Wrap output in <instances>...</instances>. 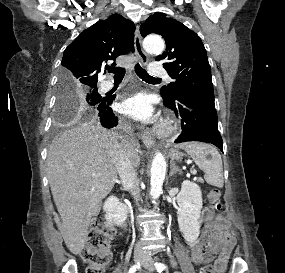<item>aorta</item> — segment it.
Listing matches in <instances>:
<instances>
[{
    "label": "aorta",
    "instance_id": "762f6f07",
    "mask_svg": "<svg viewBox=\"0 0 285 273\" xmlns=\"http://www.w3.org/2000/svg\"><path fill=\"white\" fill-rule=\"evenodd\" d=\"M144 48L149 53H161L164 50V41L159 36H148L144 40ZM150 174V194L155 200L162 193V186L166 174V161L160 152L154 156Z\"/></svg>",
    "mask_w": 285,
    "mask_h": 273
}]
</instances>
